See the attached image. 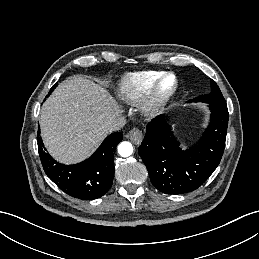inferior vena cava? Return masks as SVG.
<instances>
[{"instance_id":"602c4592","label":"inferior vena cava","mask_w":259,"mask_h":259,"mask_svg":"<svg viewBox=\"0 0 259 259\" xmlns=\"http://www.w3.org/2000/svg\"><path fill=\"white\" fill-rule=\"evenodd\" d=\"M125 123L126 120L124 117H116L110 121V123L108 124V129L110 132L118 131L125 125Z\"/></svg>"}]
</instances>
